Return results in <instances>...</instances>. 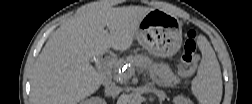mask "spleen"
I'll return each instance as SVG.
<instances>
[{"instance_id": "1", "label": "spleen", "mask_w": 252, "mask_h": 104, "mask_svg": "<svg viewBox=\"0 0 252 104\" xmlns=\"http://www.w3.org/2000/svg\"><path fill=\"white\" fill-rule=\"evenodd\" d=\"M202 60L192 80L191 91L201 104H219L222 98V75L216 54L204 36L197 39Z\"/></svg>"}]
</instances>
